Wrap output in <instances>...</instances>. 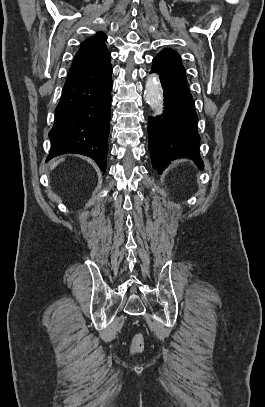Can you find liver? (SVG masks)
Masks as SVG:
<instances>
[{
    "mask_svg": "<svg viewBox=\"0 0 265 407\" xmlns=\"http://www.w3.org/2000/svg\"><path fill=\"white\" fill-rule=\"evenodd\" d=\"M62 160H63V159H60L59 161L54 162V163L52 164V168L56 167V165H57L60 161H62Z\"/></svg>",
    "mask_w": 265,
    "mask_h": 407,
    "instance_id": "1",
    "label": "liver"
}]
</instances>
